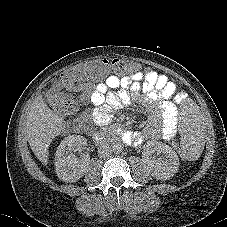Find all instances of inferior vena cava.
Returning a JSON list of instances; mask_svg holds the SVG:
<instances>
[{
  "instance_id": "obj_1",
  "label": "inferior vena cava",
  "mask_w": 227,
  "mask_h": 227,
  "mask_svg": "<svg viewBox=\"0 0 227 227\" xmlns=\"http://www.w3.org/2000/svg\"><path fill=\"white\" fill-rule=\"evenodd\" d=\"M112 154V148L108 143H103L98 148V155L100 158L109 157Z\"/></svg>"
}]
</instances>
